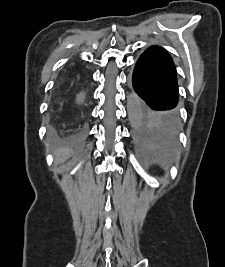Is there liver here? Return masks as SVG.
<instances>
[{
    "label": "liver",
    "mask_w": 225,
    "mask_h": 267,
    "mask_svg": "<svg viewBox=\"0 0 225 267\" xmlns=\"http://www.w3.org/2000/svg\"><path fill=\"white\" fill-rule=\"evenodd\" d=\"M54 154L56 163H62L72 155V151L68 148H60L57 149Z\"/></svg>",
    "instance_id": "obj_1"
}]
</instances>
